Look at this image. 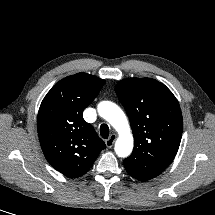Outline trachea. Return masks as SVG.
<instances>
[{"mask_svg": "<svg viewBox=\"0 0 215 215\" xmlns=\"http://www.w3.org/2000/svg\"><path fill=\"white\" fill-rule=\"evenodd\" d=\"M100 135L104 138L107 139L109 136V127L107 124H102L100 126Z\"/></svg>", "mask_w": 215, "mask_h": 215, "instance_id": "3493384b", "label": "trachea"}]
</instances>
